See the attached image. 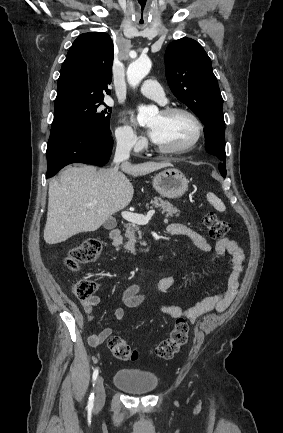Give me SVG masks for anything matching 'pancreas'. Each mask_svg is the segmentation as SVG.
I'll return each instance as SVG.
<instances>
[{
    "label": "pancreas",
    "instance_id": "obj_1",
    "mask_svg": "<svg viewBox=\"0 0 283 433\" xmlns=\"http://www.w3.org/2000/svg\"><path fill=\"white\" fill-rule=\"evenodd\" d=\"M151 202H154L153 206H155V208H162V212H166L165 217H179V208H176V206L170 204L168 200H163V198H160V196H154V200H151ZM146 206L147 208H152V206H149V204H146ZM138 231V227H133V223H131V225H127L125 233L127 243L125 247L128 249V251H130V253H132V255H136L134 245L136 243V233H138Z\"/></svg>",
    "mask_w": 283,
    "mask_h": 433
}]
</instances>
